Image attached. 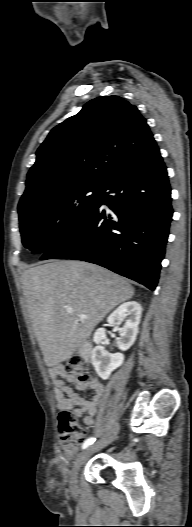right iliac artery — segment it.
Returning <instances> with one entry per match:
<instances>
[{"label":"right iliac artery","instance_id":"obj_1","mask_svg":"<svg viewBox=\"0 0 192 527\" xmlns=\"http://www.w3.org/2000/svg\"><path fill=\"white\" fill-rule=\"evenodd\" d=\"M96 439L94 437L88 438L82 445V449H86L88 446L94 443Z\"/></svg>","mask_w":192,"mask_h":527}]
</instances>
